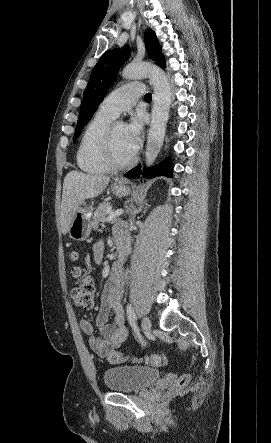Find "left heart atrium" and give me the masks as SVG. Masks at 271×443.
<instances>
[{
  "mask_svg": "<svg viewBox=\"0 0 271 443\" xmlns=\"http://www.w3.org/2000/svg\"><path fill=\"white\" fill-rule=\"evenodd\" d=\"M144 115L136 113L125 126V139L130 150L135 154L143 141Z\"/></svg>",
  "mask_w": 271,
  "mask_h": 443,
  "instance_id": "obj_1",
  "label": "left heart atrium"
}]
</instances>
